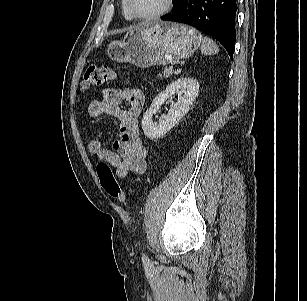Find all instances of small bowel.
<instances>
[{"label": "small bowel", "mask_w": 307, "mask_h": 301, "mask_svg": "<svg viewBox=\"0 0 307 301\" xmlns=\"http://www.w3.org/2000/svg\"><path fill=\"white\" fill-rule=\"evenodd\" d=\"M123 102L128 104L127 108L121 106ZM143 106L144 94L135 88H107L102 99L92 100L88 106L90 117L109 115L120 122L119 138L114 141L112 150L104 148L98 139L88 142L89 152L114 168L119 179L129 174H143L147 169V150L138 130V118Z\"/></svg>", "instance_id": "obj_1"}]
</instances>
